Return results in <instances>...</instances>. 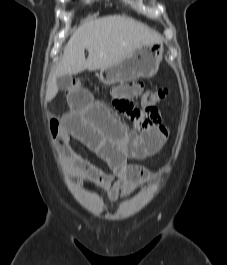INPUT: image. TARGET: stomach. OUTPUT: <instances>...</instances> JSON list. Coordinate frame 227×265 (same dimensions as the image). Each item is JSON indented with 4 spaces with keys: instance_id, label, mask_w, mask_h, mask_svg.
<instances>
[{
    "instance_id": "obj_1",
    "label": "stomach",
    "mask_w": 227,
    "mask_h": 265,
    "mask_svg": "<svg viewBox=\"0 0 227 265\" xmlns=\"http://www.w3.org/2000/svg\"><path fill=\"white\" fill-rule=\"evenodd\" d=\"M162 55L161 42L139 46L120 63L101 69L99 79L105 85H113L140 77L151 78L159 69Z\"/></svg>"
}]
</instances>
